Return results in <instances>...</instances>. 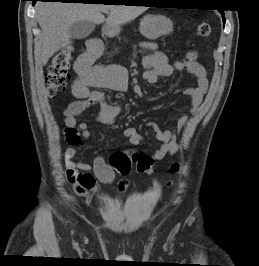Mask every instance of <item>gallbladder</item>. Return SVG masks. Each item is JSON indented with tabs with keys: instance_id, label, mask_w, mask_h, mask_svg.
Wrapping results in <instances>:
<instances>
[{
	"instance_id": "bac80fb5",
	"label": "gallbladder",
	"mask_w": 259,
	"mask_h": 266,
	"mask_svg": "<svg viewBox=\"0 0 259 266\" xmlns=\"http://www.w3.org/2000/svg\"><path fill=\"white\" fill-rule=\"evenodd\" d=\"M94 29L95 25L93 23L79 21L70 27L69 33L73 39H84L88 37Z\"/></svg>"
}]
</instances>
